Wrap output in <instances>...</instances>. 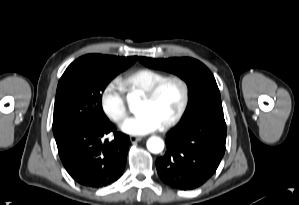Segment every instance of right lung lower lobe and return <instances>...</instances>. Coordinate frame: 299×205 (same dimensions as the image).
I'll use <instances>...</instances> for the list:
<instances>
[{"label": "right lung lower lobe", "instance_id": "obj_1", "mask_svg": "<svg viewBox=\"0 0 299 205\" xmlns=\"http://www.w3.org/2000/svg\"><path fill=\"white\" fill-rule=\"evenodd\" d=\"M113 132L111 141L102 138ZM61 161L79 184L100 188L117 181L126 164L129 137L110 122L78 126L56 141Z\"/></svg>", "mask_w": 299, "mask_h": 205}]
</instances>
